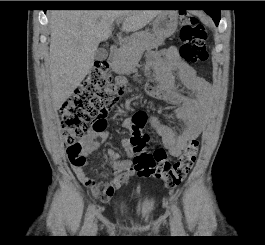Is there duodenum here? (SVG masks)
I'll list each match as a JSON object with an SVG mask.
<instances>
[{"mask_svg":"<svg viewBox=\"0 0 265 245\" xmlns=\"http://www.w3.org/2000/svg\"><path fill=\"white\" fill-rule=\"evenodd\" d=\"M118 51H119V47L117 44L111 45L109 49V60L111 61L116 60L118 57Z\"/></svg>","mask_w":265,"mask_h":245,"instance_id":"duodenum-1","label":"duodenum"}]
</instances>
